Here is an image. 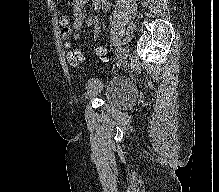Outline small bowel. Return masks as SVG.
Returning <instances> with one entry per match:
<instances>
[{"instance_id":"1","label":"small bowel","mask_w":219,"mask_h":192,"mask_svg":"<svg viewBox=\"0 0 219 192\" xmlns=\"http://www.w3.org/2000/svg\"><path fill=\"white\" fill-rule=\"evenodd\" d=\"M86 2L87 0H66V8L71 12L72 16H64L60 20V24L63 27L62 32L65 37L72 36L74 40H79L81 37L80 30L84 23L92 28L95 38L100 34L101 19L97 15L87 17V13L84 9ZM92 6L94 10L99 13H106L110 10L108 0H92ZM75 50L83 53L82 48Z\"/></svg>"}]
</instances>
